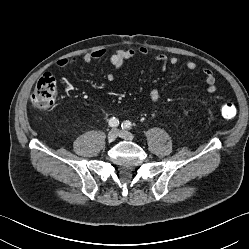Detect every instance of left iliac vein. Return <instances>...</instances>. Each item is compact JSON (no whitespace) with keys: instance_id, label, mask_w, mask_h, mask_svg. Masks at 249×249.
I'll list each match as a JSON object with an SVG mask.
<instances>
[{"instance_id":"obj_1","label":"left iliac vein","mask_w":249,"mask_h":249,"mask_svg":"<svg viewBox=\"0 0 249 249\" xmlns=\"http://www.w3.org/2000/svg\"><path fill=\"white\" fill-rule=\"evenodd\" d=\"M118 135L119 137L125 139V140H133L134 136L132 133L128 132V131H118Z\"/></svg>"}]
</instances>
